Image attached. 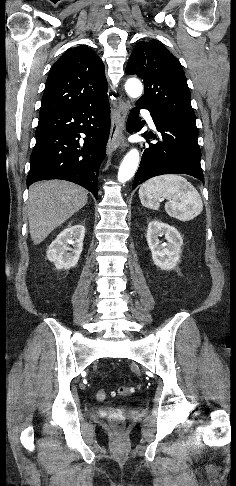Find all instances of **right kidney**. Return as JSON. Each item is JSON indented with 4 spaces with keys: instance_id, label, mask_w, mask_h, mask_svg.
Returning a JSON list of instances; mask_svg holds the SVG:
<instances>
[{
    "instance_id": "1",
    "label": "right kidney",
    "mask_w": 236,
    "mask_h": 486,
    "mask_svg": "<svg viewBox=\"0 0 236 486\" xmlns=\"http://www.w3.org/2000/svg\"><path fill=\"white\" fill-rule=\"evenodd\" d=\"M84 236L83 225L65 228L48 247L47 259L55 264L56 269L67 270L75 267L83 249Z\"/></svg>"
}]
</instances>
